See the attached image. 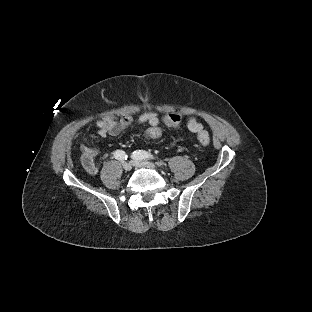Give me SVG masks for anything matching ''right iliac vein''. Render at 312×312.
Returning a JSON list of instances; mask_svg holds the SVG:
<instances>
[{"mask_svg": "<svg viewBox=\"0 0 312 312\" xmlns=\"http://www.w3.org/2000/svg\"><path fill=\"white\" fill-rule=\"evenodd\" d=\"M122 167L125 171H130L132 169V165L130 162H124Z\"/></svg>", "mask_w": 312, "mask_h": 312, "instance_id": "63e3f726", "label": "right iliac vein"}]
</instances>
